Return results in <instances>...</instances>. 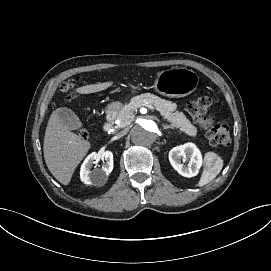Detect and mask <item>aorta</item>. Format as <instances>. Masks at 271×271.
Segmentation results:
<instances>
[{
  "instance_id": "1",
  "label": "aorta",
  "mask_w": 271,
  "mask_h": 271,
  "mask_svg": "<svg viewBox=\"0 0 271 271\" xmlns=\"http://www.w3.org/2000/svg\"><path fill=\"white\" fill-rule=\"evenodd\" d=\"M158 134V125L151 119L139 120L130 130L132 143L143 147L151 146L156 141Z\"/></svg>"
}]
</instances>
